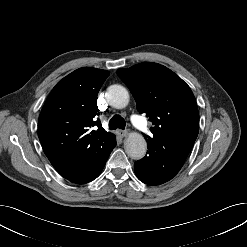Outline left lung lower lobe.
I'll list each match as a JSON object with an SVG mask.
<instances>
[{
    "mask_svg": "<svg viewBox=\"0 0 247 247\" xmlns=\"http://www.w3.org/2000/svg\"><path fill=\"white\" fill-rule=\"evenodd\" d=\"M147 145V155L135 162L134 166L137 178L148 185H160L171 180L179 172L192 149L181 143L163 146L151 142Z\"/></svg>",
    "mask_w": 247,
    "mask_h": 247,
    "instance_id": "1",
    "label": "left lung lower lobe"
}]
</instances>
